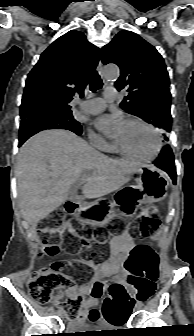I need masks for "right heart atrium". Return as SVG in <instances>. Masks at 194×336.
Here are the masks:
<instances>
[{
  "instance_id": "d8ad5b80",
  "label": "right heart atrium",
  "mask_w": 194,
  "mask_h": 336,
  "mask_svg": "<svg viewBox=\"0 0 194 336\" xmlns=\"http://www.w3.org/2000/svg\"><path fill=\"white\" fill-rule=\"evenodd\" d=\"M88 139L90 144L98 150L108 151L111 149V145L104 138L94 133L93 131L89 132Z\"/></svg>"
}]
</instances>
